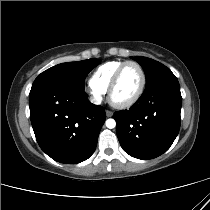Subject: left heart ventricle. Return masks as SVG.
<instances>
[{"instance_id":"obj_1","label":"left heart ventricle","mask_w":210,"mask_h":210,"mask_svg":"<svg viewBox=\"0 0 210 210\" xmlns=\"http://www.w3.org/2000/svg\"><path fill=\"white\" fill-rule=\"evenodd\" d=\"M141 83V74L135 65H128L121 73L117 87L113 92V100L124 102L132 98L138 91Z\"/></svg>"}]
</instances>
